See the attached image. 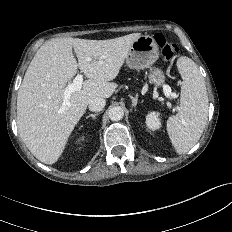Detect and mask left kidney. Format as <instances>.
<instances>
[{
  "label": "left kidney",
  "mask_w": 232,
  "mask_h": 232,
  "mask_svg": "<svg viewBox=\"0 0 232 232\" xmlns=\"http://www.w3.org/2000/svg\"><path fill=\"white\" fill-rule=\"evenodd\" d=\"M146 125L149 129L155 131L161 127L160 113L149 112L146 116Z\"/></svg>",
  "instance_id": "1"
}]
</instances>
